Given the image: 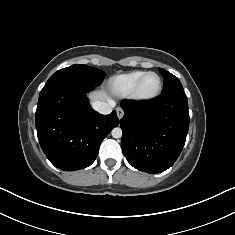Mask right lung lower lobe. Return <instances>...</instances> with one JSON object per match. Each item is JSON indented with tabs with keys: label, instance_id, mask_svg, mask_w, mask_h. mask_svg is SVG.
<instances>
[{
	"label": "right lung lower lobe",
	"instance_id": "right-lung-lower-lobe-1",
	"mask_svg": "<svg viewBox=\"0 0 235 235\" xmlns=\"http://www.w3.org/2000/svg\"><path fill=\"white\" fill-rule=\"evenodd\" d=\"M93 86L79 80L46 83L35 114L41 148L50 162L65 171L90 166L103 139L118 126L116 111H94L86 93Z\"/></svg>",
	"mask_w": 235,
	"mask_h": 235
}]
</instances>
